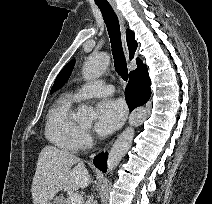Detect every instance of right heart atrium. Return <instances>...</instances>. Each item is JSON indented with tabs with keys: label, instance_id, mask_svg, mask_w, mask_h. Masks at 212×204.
<instances>
[{
	"label": "right heart atrium",
	"instance_id": "1",
	"mask_svg": "<svg viewBox=\"0 0 212 204\" xmlns=\"http://www.w3.org/2000/svg\"><path fill=\"white\" fill-rule=\"evenodd\" d=\"M91 143V134L89 130L83 129L80 135V147H87Z\"/></svg>",
	"mask_w": 212,
	"mask_h": 204
}]
</instances>
